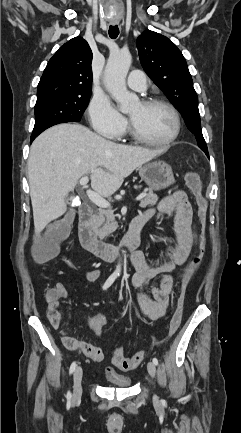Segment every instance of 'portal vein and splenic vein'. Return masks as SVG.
<instances>
[{"label":"portal vein and splenic vein","mask_w":241,"mask_h":433,"mask_svg":"<svg viewBox=\"0 0 241 433\" xmlns=\"http://www.w3.org/2000/svg\"><path fill=\"white\" fill-rule=\"evenodd\" d=\"M88 182H89V178L87 176L82 177L80 179V185L82 187H86ZM86 194H87L88 198L90 199V201L93 202L98 207H100V208H109L110 207V203L106 199L101 197L99 194H97L96 192H94L92 190H87ZM145 196H146V193H141L140 195L137 196L136 201L142 200Z\"/></svg>","instance_id":"1"}]
</instances>
